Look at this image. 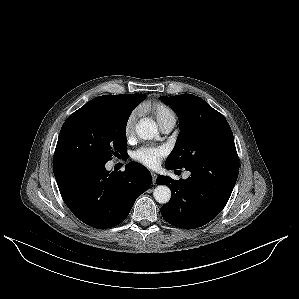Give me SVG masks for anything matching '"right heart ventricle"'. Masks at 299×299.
Instances as JSON below:
<instances>
[{"label": "right heart ventricle", "mask_w": 299, "mask_h": 299, "mask_svg": "<svg viewBox=\"0 0 299 299\" xmlns=\"http://www.w3.org/2000/svg\"><path fill=\"white\" fill-rule=\"evenodd\" d=\"M148 111L156 119L159 126L169 121H176V116L172 109L161 102L152 103L149 106Z\"/></svg>", "instance_id": "right-heart-ventricle-1"}]
</instances>
